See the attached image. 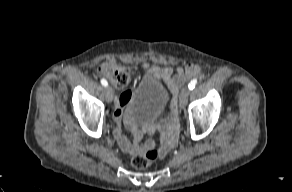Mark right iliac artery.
<instances>
[{
  "label": "right iliac artery",
  "mask_w": 292,
  "mask_h": 192,
  "mask_svg": "<svg viewBox=\"0 0 292 192\" xmlns=\"http://www.w3.org/2000/svg\"><path fill=\"white\" fill-rule=\"evenodd\" d=\"M101 84H102L104 87H107V86H108V82H107L105 79H101Z\"/></svg>",
  "instance_id": "obj_1"
}]
</instances>
